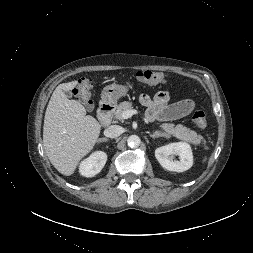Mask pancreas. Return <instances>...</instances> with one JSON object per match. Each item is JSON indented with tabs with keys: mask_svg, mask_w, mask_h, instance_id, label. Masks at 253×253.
<instances>
[{
	"mask_svg": "<svg viewBox=\"0 0 253 253\" xmlns=\"http://www.w3.org/2000/svg\"><path fill=\"white\" fill-rule=\"evenodd\" d=\"M132 108L133 106L131 102H121L114 113L115 118L119 119L120 121H123L122 113L127 110H132ZM160 128L164 130L168 136L172 135L180 140L187 141L194 145H198L202 141V137L197 135L195 131L190 130L189 128L181 124L175 126L172 123H164L160 125Z\"/></svg>",
	"mask_w": 253,
	"mask_h": 253,
	"instance_id": "pancreas-1",
	"label": "pancreas"
}]
</instances>
